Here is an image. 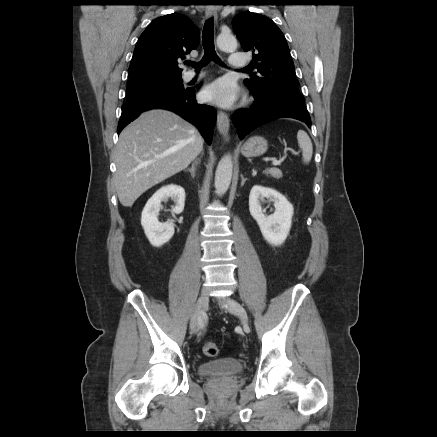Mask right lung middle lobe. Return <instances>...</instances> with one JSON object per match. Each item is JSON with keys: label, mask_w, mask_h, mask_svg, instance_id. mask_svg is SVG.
I'll use <instances>...</instances> for the list:
<instances>
[{"label": "right lung middle lobe", "mask_w": 437, "mask_h": 437, "mask_svg": "<svg viewBox=\"0 0 437 437\" xmlns=\"http://www.w3.org/2000/svg\"><path fill=\"white\" fill-rule=\"evenodd\" d=\"M129 78L127 100L153 93L184 89L182 75H143Z\"/></svg>", "instance_id": "obj_1"}]
</instances>
